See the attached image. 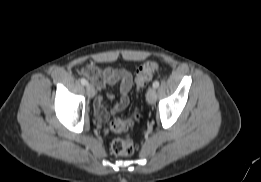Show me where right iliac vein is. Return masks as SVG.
Segmentation results:
<instances>
[{
  "mask_svg": "<svg viewBox=\"0 0 261 182\" xmlns=\"http://www.w3.org/2000/svg\"><path fill=\"white\" fill-rule=\"evenodd\" d=\"M86 90H87V95H88L90 98H93V97L95 96L96 90H95V88H94L93 85L87 84Z\"/></svg>",
  "mask_w": 261,
  "mask_h": 182,
  "instance_id": "obj_1",
  "label": "right iliac vein"
}]
</instances>
